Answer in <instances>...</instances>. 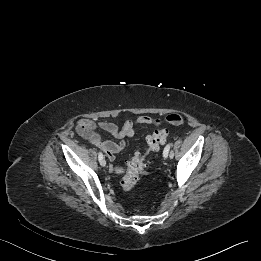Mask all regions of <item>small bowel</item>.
I'll use <instances>...</instances> for the list:
<instances>
[{
	"instance_id": "c3829d8e",
	"label": "small bowel",
	"mask_w": 261,
	"mask_h": 261,
	"mask_svg": "<svg viewBox=\"0 0 261 261\" xmlns=\"http://www.w3.org/2000/svg\"><path fill=\"white\" fill-rule=\"evenodd\" d=\"M172 117H178L181 119V123H183V117L179 114H171L167 116L166 122L169 123ZM161 124L162 121L160 119L147 115H141L135 119H127L121 128H119L116 124L106 120H99L96 122L91 119L82 118L78 120L76 124V130L79 135L84 137L91 144L102 149L108 156L109 160L114 162L115 154L126 147L125 139L133 137L140 125L159 126ZM97 128H100L103 131L111 134L113 137L118 139V141L103 140L97 133Z\"/></svg>"
}]
</instances>
